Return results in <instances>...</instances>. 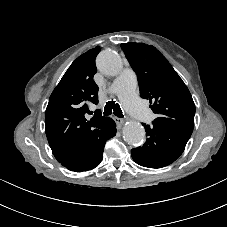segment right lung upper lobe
Wrapping results in <instances>:
<instances>
[{
  "label": "right lung upper lobe",
  "instance_id": "right-lung-upper-lobe-1",
  "mask_svg": "<svg viewBox=\"0 0 227 227\" xmlns=\"http://www.w3.org/2000/svg\"><path fill=\"white\" fill-rule=\"evenodd\" d=\"M97 46L80 55L68 68L53 90L45 113L46 136L58 162L91 145L109 117L96 111L91 119L88 102L98 103Z\"/></svg>",
  "mask_w": 227,
  "mask_h": 227
}]
</instances>
